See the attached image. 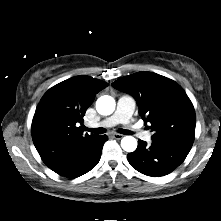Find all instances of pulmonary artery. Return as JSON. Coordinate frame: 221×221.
Listing matches in <instances>:
<instances>
[{
	"instance_id": "1",
	"label": "pulmonary artery",
	"mask_w": 221,
	"mask_h": 221,
	"mask_svg": "<svg viewBox=\"0 0 221 221\" xmlns=\"http://www.w3.org/2000/svg\"><path fill=\"white\" fill-rule=\"evenodd\" d=\"M135 102L129 96H122L117 102V107L115 112L104 119L99 126L102 127H113L117 124H123L127 126L131 131L134 132L139 138L150 141L151 134L147 131L139 129L136 125L132 124L130 118L134 110Z\"/></svg>"
}]
</instances>
